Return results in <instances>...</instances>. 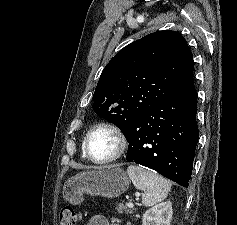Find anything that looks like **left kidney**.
<instances>
[{"label":"left kidney","mask_w":237,"mask_h":225,"mask_svg":"<svg viewBox=\"0 0 237 225\" xmlns=\"http://www.w3.org/2000/svg\"><path fill=\"white\" fill-rule=\"evenodd\" d=\"M172 214V203L162 202L143 214L142 225H170Z\"/></svg>","instance_id":"5707ae66"}]
</instances>
